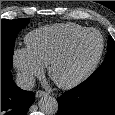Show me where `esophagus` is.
I'll use <instances>...</instances> for the list:
<instances>
[{"label":"esophagus","mask_w":115,"mask_h":115,"mask_svg":"<svg viewBox=\"0 0 115 115\" xmlns=\"http://www.w3.org/2000/svg\"><path fill=\"white\" fill-rule=\"evenodd\" d=\"M46 95H48V93L45 92V91H42V90H38V91L35 93V96H36L37 98H40V97L46 96Z\"/></svg>","instance_id":"1"}]
</instances>
